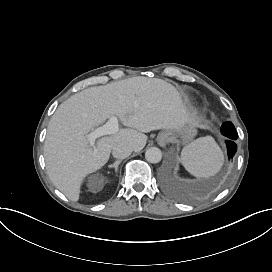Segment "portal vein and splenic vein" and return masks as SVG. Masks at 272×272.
<instances>
[{"label": "portal vein and splenic vein", "instance_id": "18ae733b", "mask_svg": "<svg viewBox=\"0 0 272 272\" xmlns=\"http://www.w3.org/2000/svg\"><path fill=\"white\" fill-rule=\"evenodd\" d=\"M118 131H119L118 119L117 117L112 116L103 126L98 127L89 134H87L86 139L88 140L91 146H94L97 138L104 135L115 134Z\"/></svg>", "mask_w": 272, "mask_h": 272}]
</instances>
